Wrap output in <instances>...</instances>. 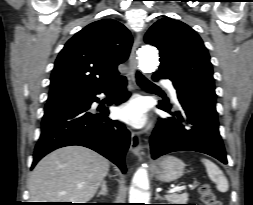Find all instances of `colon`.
<instances>
[{"mask_svg": "<svg viewBox=\"0 0 253 205\" xmlns=\"http://www.w3.org/2000/svg\"><path fill=\"white\" fill-rule=\"evenodd\" d=\"M199 193L204 205H221V202L218 200L209 184L200 186Z\"/></svg>", "mask_w": 253, "mask_h": 205, "instance_id": "1", "label": "colon"}]
</instances>
